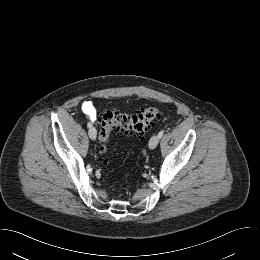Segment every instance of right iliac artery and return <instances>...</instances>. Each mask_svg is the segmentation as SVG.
<instances>
[{
	"mask_svg": "<svg viewBox=\"0 0 260 260\" xmlns=\"http://www.w3.org/2000/svg\"><path fill=\"white\" fill-rule=\"evenodd\" d=\"M87 126H88L89 128H91V127H92V124L89 122V123L87 124Z\"/></svg>",
	"mask_w": 260,
	"mask_h": 260,
	"instance_id": "82829eb1",
	"label": "right iliac artery"
}]
</instances>
